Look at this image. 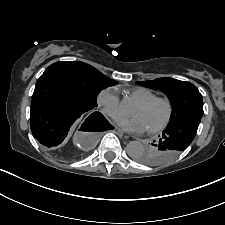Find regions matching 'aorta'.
Returning <instances> with one entry per match:
<instances>
[{"label":"aorta","instance_id":"1","mask_svg":"<svg viewBox=\"0 0 225 225\" xmlns=\"http://www.w3.org/2000/svg\"><path fill=\"white\" fill-rule=\"evenodd\" d=\"M143 151L144 145L139 141H130L126 146V152L132 158H136Z\"/></svg>","mask_w":225,"mask_h":225}]
</instances>
